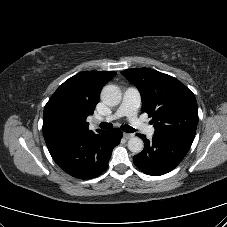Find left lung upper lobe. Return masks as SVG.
<instances>
[{"instance_id": "left-lung-upper-lobe-1", "label": "left lung upper lobe", "mask_w": 227, "mask_h": 227, "mask_svg": "<svg viewBox=\"0 0 227 227\" xmlns=\"http://www.w3.org/2000/svg\"><path fill=\"white\" fill-rule=\"evenodd\" d=\"M142 98V109L152 117L156 133L193 141L198 124L194 94L176 78L149 68L121 72Z\"/></svg>"}]
</instances>
